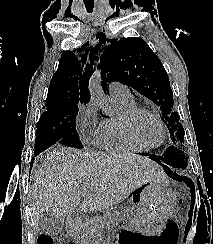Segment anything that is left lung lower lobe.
Instances as JSON below:
<instances>
[{
    "instance_id": "left-lung-lower-lobe-1",
    "label": "left lung lower lobe",
    "mask_w": 213,
    "mask_h": 244,
    "mask_svg": "<svg viewBox=\"0 0 213 244\" xmlns=\"http://www.w3.org/2000/svg\"><path fill=\"white\" fill-rule=\"evenodd\" d=\"M145 156H149L152 160L158 162L160 165L164 167L166 170L167 174L171 176L173 179H176L178 181H184L187 186L190 187L191 189V200H195V188H194V183L192 182L191 179L187 178L184 175H180L176 172V170L172 169L175 166V162L173 160V155L169 149L165 151V153L162 156H157L154 154H143ZM193 197V199H192Z\"/></svg>"
}]
</instances>
